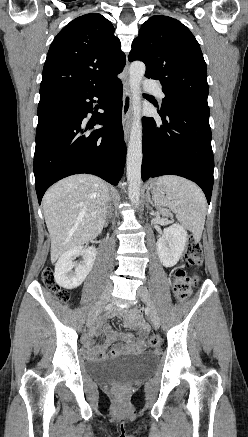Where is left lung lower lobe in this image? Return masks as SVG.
I'll return each instance as SVG.
<instances>
[{
	"instance_id": "1",
	"label": "left lung lower lobe",
	"mask_w": 248,
	"mask_h": 437,
	"mask_svg": "<svg viewBox=\"0 0 248 437\" xmlns=\"http://www.w3.org/2000/svg\"><path fill=\"white\" fill-rule=\"evenodd\" d=\"M163 125L143 117L142 179L167 174L197 183L211 200L214 157L209 107L178 105L159 113Z\"/></svg>"
}]
</instances>
